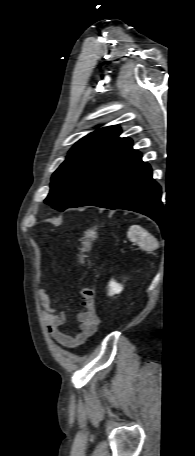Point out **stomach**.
<instances>
[{"mask_svg":"<svg viewBox=\"0 0 195 456\" xmlns=\"http://www.w3.org/2000/svg\"><path fill=\"white\" fill-rule=\"evenodd\" d=\"M97 238L96 227L90 228L84 232L83 248L82 252L88 251L91 246V242ZM83 257V256H82Z\"/></svg>","mask_w":195,"mask_h":456,"instance_id":"1","label":"stomach"}]
</instances>
